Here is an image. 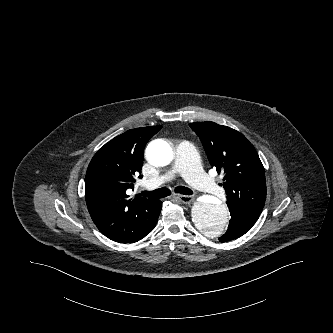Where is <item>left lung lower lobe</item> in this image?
Segmentation results:
<instances>
[{
    "label": "left lung lower lobe",
    "instance_id": "left-lung-lower-lobe-1",
    "mask_svg": "<svg viewBox=\"0 0 333 333\" xmlns=\"http://www.w3.org/2000/svg\"><path fill=\"white\" fill-rule=\"evenodd\" d=\"M231 219L226 233L219 238L220 242L230 241L248 232L259 216L247 214L236 208H229Z\"/></svg>",
    "mask_w": 333,
    "mask_h": 333
}]
</instances>
